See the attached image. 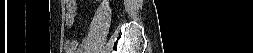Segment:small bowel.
I'll return each mask as SVG.
<instances>
[{
	"mask_svg": "<svg viewBox=\"0 0 253 53\" xmlns=\"http://www.w3.org/2000/svg\"><path fill=\"white\" fill-rule=\"evenodd\" d=\"M70 5H75L76 1L71 0L68 1ZM74 15L73 12H69L66 17V24L67 27H71L73 23ZM65 50L69 53H81L82 52V45L77 40H66L64 44Z\"/></svg>",
	"mask_w": 253,
	"mask_h": 53,
	"instance_id": "small-bowel-1",
	"label": "small bowel"
}]
</instances>
